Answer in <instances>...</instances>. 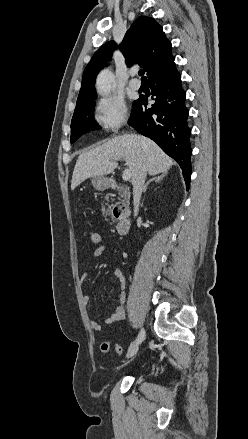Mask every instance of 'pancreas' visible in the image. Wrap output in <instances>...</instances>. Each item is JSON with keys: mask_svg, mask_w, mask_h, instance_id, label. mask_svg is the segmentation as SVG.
Returning a JSON list of instances; mask_svg holds the SVG:
<instances>
[{"mask_svg": "<svg viewBox=\"0 0 248 439\" xmlns=\"http://www.w3.org/2000/svg\"><path fill=\"white\" fill-rule=\"evenodd\" d=\"M118 190L122 194V197H123L122 202H123V204L129 205L130 194L127 192V190L123 186H119Z\"/></svg>", "mask_w": 248, "mask_h": 439, "instance_id": "1", "label": "pancreas"}]
</instances>
